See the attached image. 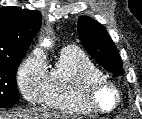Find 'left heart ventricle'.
Listing matches in <instances>:
<instances>
[{
    "instance_id": "b2bd125f",
    "label": "left heart ventricle",
    "mask_w": 142,
    "mask_h": 119,
    "mask_svg": "<svg viewBox=\"0 0 142 119\" xmlns=\"http://www.w3.org/2000/svg\"><path fill=\"white\" fill-rule=\"evenodd\" d=\"M103 102H104V104H105L106 106H109V105L111 104V102H112V99H111L110 96L104 95V96H103Z\"/></svg>"
}]
</instances>
